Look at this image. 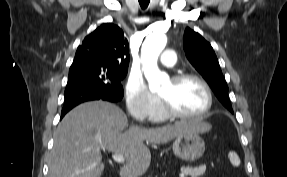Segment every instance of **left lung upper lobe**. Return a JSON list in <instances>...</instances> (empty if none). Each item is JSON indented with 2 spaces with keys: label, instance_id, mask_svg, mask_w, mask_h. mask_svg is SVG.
Masks as SVG:
<instances>
[{
  "label": "left lung upper lobe",
  "instance_id": "left-lung-upper-lobe-1",
  "mask_svg": "<svg viewBox=\"0 0 287 177\" xmlns=\"http://www.w3.org/2000/svg\"><path fill=\"white\" fill-rule=\"evenodd\" d=\"M183 43L190 63L207 81L219 101L232 112L228 98V86L210 43L190 28L185 30Z\"/></svg>",
  "mask_w": 287,
  "mask_h": 177
}]
</instances>
